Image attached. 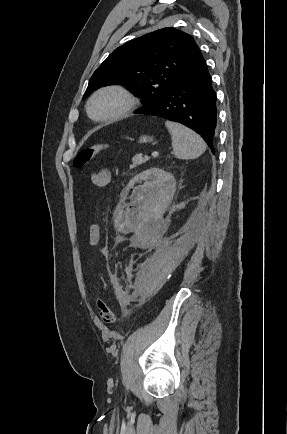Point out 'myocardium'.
<instances>
[{
	"label": "myocardium",
	"mask_w": 287,
	"mask_h": 434,
	"mask_svg": "<svg viewBox=\"0 0 287 434\" xmlns=\"http://www.w3.org/2000/svg\"><path fill=\"white\" fill-rule=\"evenodd\" d=\"M109 95H114L120 98L121 105L119 106V108L104 115H95L93 113L94 103L98 99ZM136 105L137 99L128 89L119 85H107L95 90L90 95L86 104V110L88 116L93 121L99 123H109L127 117L135 109Z\"/></svg>",
	"instance_id": "1"
}]
</instances>
